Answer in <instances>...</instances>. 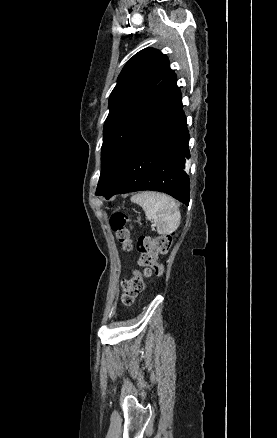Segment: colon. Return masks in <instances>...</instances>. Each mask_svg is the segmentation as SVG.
<instances>
[{
  "instance_id": "colon-1",
  "label": "colon",
  "mask_w": 277,
  "mask_h": 438,
  "mask_svg": "<svg viewBox=\"0 0 277 438\" xmlns=\"http://www.w3.org/2000/svg\"><path fill=\"white\" fill-rule=\"evenodd\" d=\"M129 219L124 213H116L110 218V226L118 241L125 247L131 248L130 232L126 228ZM172 245V237L149 235H139L135 240V252L140 256V265L144 272L134 271L129 278L122 281V302L130 305L134 302L135 297L143 291L144 278L151 272L155 271L158 275L163 272V266L158 263L159 254H163Z\"/></svg>"
}]
</instances>
